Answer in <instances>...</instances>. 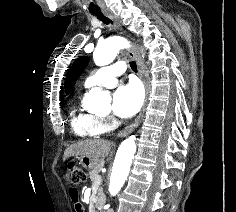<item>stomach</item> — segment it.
<instances>
[{
    "label": "stomach",
    "instance_id": "0dacf381",
    "mask_svg": "<svg viewBox=\"0 0 236 212\" xmlns=\"http://www.w3.org/2000/svg\"><path fill=\"white\" fill-rule=\"evenodd\" d=\"M99 161L100 160L95 157L81 156L79 163L82 165L83 168L87 170H92L99 164Z\"/></svg>",
    "mask_w": 236,
    "mask_h": 212
}]
</instances>
